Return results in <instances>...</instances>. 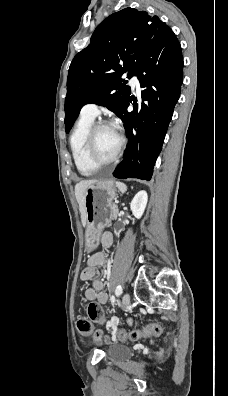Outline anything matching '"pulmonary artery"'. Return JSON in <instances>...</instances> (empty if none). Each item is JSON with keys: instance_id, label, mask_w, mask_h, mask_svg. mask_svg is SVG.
<instances>
[{"instance_id": "1", "label": "pulmonary artery", "mask_w": 228, "mask_h": 396, "mask_svg": "<svg viewBox=\"0 0 228 396\" xmlns=\"http://www.w3.org/2000/svg\"><path fill=\"white\" fill-rule=\"evenodd\" d=\"M130 84L133 86L137 91H140V82L137 76H133L130 79ZM82 115L91 117V118H96L97 115L99 114V108L96 104L90 103L86 104L81 111Z\"/></svg>"}]
</instances>
